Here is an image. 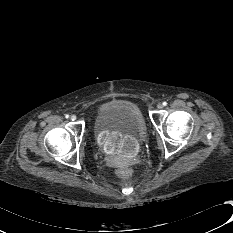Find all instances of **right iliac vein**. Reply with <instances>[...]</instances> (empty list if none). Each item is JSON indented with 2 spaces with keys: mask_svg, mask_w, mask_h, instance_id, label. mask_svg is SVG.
<instances>
[{
  "mask_svg": "<svg viewBox=\"0 0 233 233\" xmlns=\"http://www.w3.org/2000/svg\"><path fill=\"white\" fill-rule=\"evenodd\" d=\"M70 119H71L72 121H75V120H76V116H75V115H71V116H70Z\"/></svg>",
  "mask_w": 233,
  "mask_h": 233,
  "instance_id": "1",
  "label": "right iliac vein"
}]
</instances>
